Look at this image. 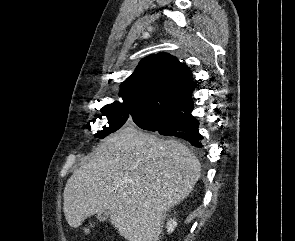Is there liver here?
<instances>
[{"mask_svg": "<svg viewBox=\"0 0 295 241\" xmlns=\"http://www.w3.org/2000/svg\"><path fill=\"white\" fill-rule=\"evenodd\" d=\"M200 171L186 145L126 127L104 139L68 179L66 221L77 228L107 211L128 241H159L166 212L189 196Z\"/></svg>", "mask_w": 295, "mask_h": 241, "instance_id": "6515ba94", "label": "liver"}]
</instances>
